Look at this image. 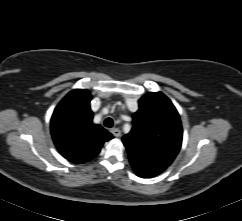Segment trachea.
I'll use <instances>...</instances> for the list:
<instances>
[{
	"instance_id": "1",
	"label": "trachea",
	"mask_w": 242,
	"mask_h": 221,
	"mask_svg": "<svg viewBox=\"0 0 242 221\" xmlns=\"http://www.w3.org/2000/svg\"><path fill=\"white\" fill-rule=\"evenodd\" d=\"M114 122L112 120V118H106L105 121H104V125L108 128H111L113 126Z\"/></svg>"
}]
</instances>
